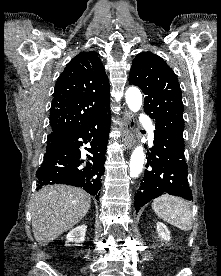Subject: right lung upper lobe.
<instances>
[{
  "mask_svg": "<svg viewBox=\"0 0 221 276\" xmlns=\"http://www.w3.org/2000/svg\"><path fill=\"white\" fill-rule=\"evenodd\" d=\"M110 107V85L95 51L74 57L57 79L48 137H68Z\"/></svg>",
  "mask_w": 221,
  "mask_h": 276,
  "instance_id": "cb5924a9",
  "label": "right lung upper lobe"
}]
</instances>
